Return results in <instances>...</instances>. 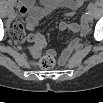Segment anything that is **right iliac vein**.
Segmentation results:
<instances>
[{
    "mask_svg": "<svg viewBox=\"0 0 103 103\" xmlns=\"http://www.w3.org/2000/svg\"><path fill=\"white\" fill-rule=\"evenodd\" d=\"M8 16H9L10 18L14 17V11H13L12 9H9V10H8Z\"/></svg>",
    "mask_w": 103,
    "mask_h": 103,
    "instance_id": "1",
    "label": "right iliac vein"
}]
</instances>
